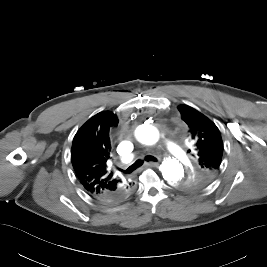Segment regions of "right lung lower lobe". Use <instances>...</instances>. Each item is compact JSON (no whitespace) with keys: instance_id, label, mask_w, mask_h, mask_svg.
Wrapping results in <instances>:
<instances>
[{"instance_id":"obj_1","label":"right lung lower lobe","mask_w":267,"mask_h":267,"mask_svg":"<svg viewBox=\"0 0 267 267\" xmlns=\"http://www.w3.org/2000/svg\"><path fill=\"white\" fill-rule=\"evenodd\" d=\"M133 187V183L128 182L125 184V186H122L117 193L112 194V195H106L104 197H95L93 195V197H95L98 200H101L102 202H106V203H116L119 202L123 199H125L126 197H128L130 195V193L132 192V188ZM89 194V193H88Z\"/></svg>"}]
</instances>
